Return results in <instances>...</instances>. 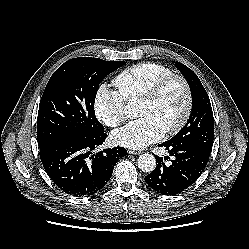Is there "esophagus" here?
<instances>
[{
  "label": "esophagus",
  "instance_id": "34e87169",
  "mask_svg": "<svg viewBox=\"0 0 249 249\" xmlns=\"http://www.w3.org/2000/svg\"><path fill=\"white\" fill-rule=\"evenodd\" d=\"M128 153H129L130 155H139V154H140L139 151H134V150H128Z\"/></svg>",
  "mask_w": 249,
  "mask_h": 249
}]
</instances>
